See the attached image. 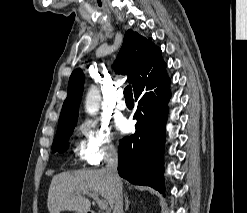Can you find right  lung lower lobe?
I'll return each instance as SVG.
<instances>
[{
    "instance_id": "98d812e1",
    "label": "right lung lower lobe",
    "mask_w": 247,
    "mask_h": 213,
    "mask_svg": "<svg viewBox=\"0 0 247 213\" xmlns=\"http://www.w3.org/2000/svg\"><path fill=\"white\" fill-rule=\"evenodd\" d=\"M170 79L164 69L134 90L136 133L120 141L118 172L129 182L164 193L163 156Z\"/></svg>"
}]
</instances>
